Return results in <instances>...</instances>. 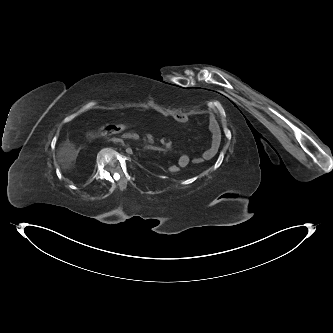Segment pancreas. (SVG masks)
<instances>
[{"mask_svg":"<svg viewBox=\"0 0 333 333\" xmlns=\"http://www.w3.org/2000/svg\"><path fill=\"white\" fill-rule=\"evenodd\" d=\"M128 137L132 138V137H134V135H132V134H129V135H128ZM144 140H145V139H144Z\"/></svg>","mask_w":333,"mask_h":333,"instance_id":"1","label":"pancreas"}]
</instances>
